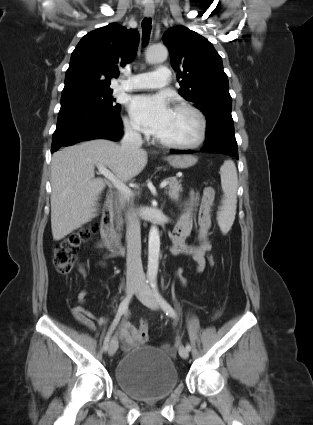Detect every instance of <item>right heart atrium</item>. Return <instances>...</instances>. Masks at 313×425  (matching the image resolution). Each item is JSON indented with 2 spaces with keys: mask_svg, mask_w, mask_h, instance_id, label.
<instances>
[{
  "mask_svg": "<svg viewBox=\"0 0 313 425\" xmlns=\"http://www.w3.org/2000/svg\"><path fill=\"white\" fill-rule=\"evenodd\" d=\"M125 131L128 135L132 137H139V132L132 121L125 119L124 121Z\"/></svg>",
  "mask_w": 313,
  "mask_h": 425,
  "instance_id": "obj_1",
  "label": "right heart atrium"
}]
</instances>
